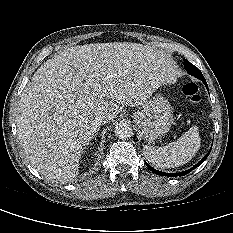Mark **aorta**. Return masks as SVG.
<instances>
[{"label":"aorta","mask_w":233,"mask_h":233,"mask_svg":"<svg viewBox=\"0 0 233 233\" xmlns=\"http://www.w3.org/2000/svg\"><path fill=\"white\" fill-rule=\"evenodd\" d=\"M115 135L119 138V139H128L132 136L133 134V128L132 126L127 123V122H119L115 125V129H114Z\"/></svg>","instance_id":"aorta-1"}]
</instances>
